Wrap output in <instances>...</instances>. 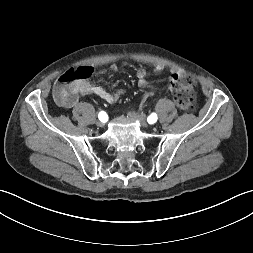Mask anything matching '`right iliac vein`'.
Returning <instances> with one entry per match:
<instances>
[{
  "label": "right iliac vein",
  "instance_id": "63e3f726",
  "mask_svg": "<svg viewBox=\"0 0 253 253\" xmlns=\"http://www.w3.org/2000/svg\"><path fill=\"white\" fill-rule=\"evenodd\" d=\"M96 125H97L98 127H103V126H104V122L98 120V121L96 122Z\"/></svg>",
  "mask_w": 253,
  "mask_h": 253
}]
</instances>
